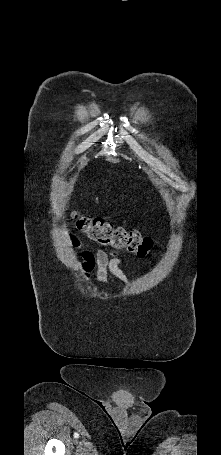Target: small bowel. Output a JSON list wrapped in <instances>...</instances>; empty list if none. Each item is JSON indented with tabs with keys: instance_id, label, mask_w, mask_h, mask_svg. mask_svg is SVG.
I'll use <instances>...</instances> for the list:
<instances>
[{
	"instance_id": "obj_1",
	"label": "small bowel",
	"mask_w": 221,
	"mask_h": 455,
	"mask_svg": "<svg viewBox=\"0 0 221 455\" xmlns=\"http://www.w3.org/2000/svg\"><path fill=\"white\" fill-rule=\"evenodd\" d=\"M69 241L74 247H80L79 240L73 235H69ZM124 258L117 252L96 250H84L81 254L79 269L82 271L85 279H93L102 285L108 283V275L111 274L121 283L129 284L128 275L121 269Z\"/></svg>"
}]
</instances>
